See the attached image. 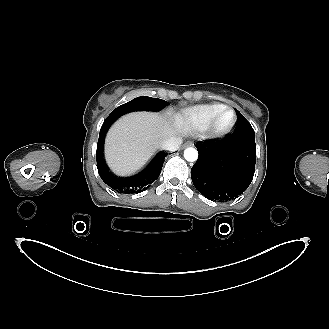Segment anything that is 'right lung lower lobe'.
<instances>
[{
	"instance_id": "right-lung-lower-lobe-1",
	"label": "right lung lower lobe",
	"mask_w": 329,
	"mask_h": 329,
	"mask_svg": "<svg viewBox=\"0 0 329 329\" xmlns=\"http://www.w3.org/2000/svg\"><path fill=\"white\" fill-rule=\"evenodd\" d=\"M114 121L115 120L106 119L100 129L96 151V160L99 175L108 186L116 190L118 193L130 194L144 190L148 188L151 183H153L159 177L167 153L161 152L157 154L155 158L141 173L133 177L120 178L115 176L109 171L103 159L104 137L108 128Z\"/></svg>"
}]
</instances>
